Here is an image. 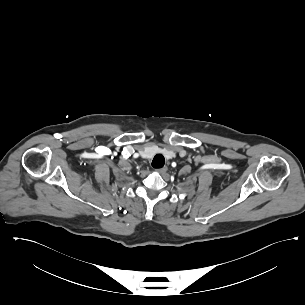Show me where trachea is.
<instances>
[{"mask_svg":"<svg viewBox=\"0 0 305 305\" xmlns=\"http://www.w3.org/2000/svg\"><path fill=\"white\" fill-rule=\"evenodd\" d=\"M165 164V158L162 154H156L152 161V166L154 168H162Z\"/></svg>","mask_w":305,"mask_h":305,"instance_id":"1","label":"trachea"}]
</instances>
